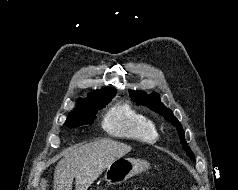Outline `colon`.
Masks as SVG:
<instances>
[{
  "label": "colon",
  "mask_w": 238,
  "mask_h": 190,
  "mask_svg": "<svg viewBox=\"0 0 238 190\" xmlns=\"http://www.w3.org/2000/svg\"><path fill=\"white\" fill-rule=\"evenodd\" d=\"M133 190H149V189L143 188V187H136V188H134Z\"/></svg>",
  "instance_id": "1"
}]
</instances>
